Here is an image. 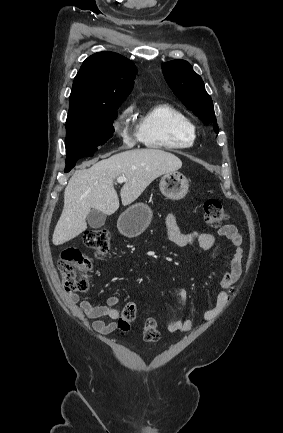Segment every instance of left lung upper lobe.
Returning <instances> with one entry per match:
<instances>
[{
    "label": "left lung upper lobe",
    "mask_w": 283,
    "mask_h": 433,
    "mask_svg": "<svg viewBox=\"0 0 283 433\" xmlns=\"http://www.w3.org/2000/svg\"><path fill=\"white\" fill-rule=\"evenodd\" d=\"M162 72L169 87L182 103L205 125L213 123L215 132L218 133L212 99L191 65L185 60H173L162 65Z\"/></svg>",
    "instance_id": "1"
}]
</instances>
